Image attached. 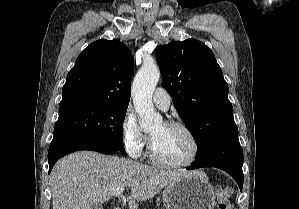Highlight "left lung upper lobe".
Segmentation results:
<instances>
[{"instance_id": "left-lung-upper-lobe-1", "label": "left lung upper lobe", "mask_w": 299, "mask_h": 209, "mask_svg": "<svg viewBox=\"0 0 299 209\" xmlns=\"http://www.w3.org/2000/svg\"><path fill=\"white\" fill-rule=\"evenodd\" d=\"M156 57L163 86L196 141L198 159L218 137L237 128L228 84L212 50L195 39L161 46Z\"/></svg>"}]
</instances>
